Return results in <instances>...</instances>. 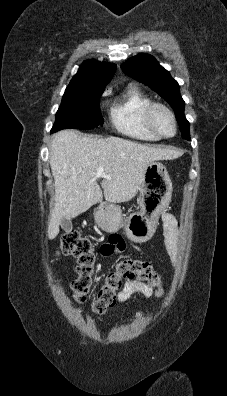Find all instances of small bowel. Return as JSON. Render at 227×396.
<instances>
[{"instance_id": "small-bowel-1", "label": "small bowel", "mask_w": 227, "mask_h": 396, "mask_svg": "<svg viewBox=\"0 0 227 396\" xmlns=\"http://www.w3.org/2000/svg\"><path fill=\"white\" fill-rule=\"evenodd\" d=\"M163 231H164V246L175 263L178 256V240L176 234V220L171 214H164L162 216ZM125 243L119 235H111L108 242L101 246V253L104 256H110L114 252L123 251ZM153 289L145 283L137 280L127 281L122 290L118 293L117 299L119 302H126L135 296H143L148 298L152 295Z\"/></svg>"}]
</instances>
